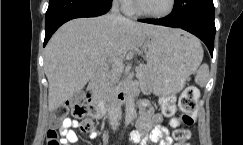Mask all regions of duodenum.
Wrapping results in <instances>:
<instances>
[{
	"mask_svg": "<svg viewBox=\"0 0 243 145\" xmlns=\"http://www.w3.org/2000/svg\"><path fill=\"white\" fill-rule=\"evenodd\" d=\"M105 68L101 67L97 70L95 78L101 76ZM130 97L129 87L121 85L114 96L110 98L98 97L95 94L93 85L91 84L86 90V99L90 115L95 119L102 118L111 108L118 104L124 103Z\"/></svg>",
	"mask_w": 243,
	"mask_h": 145,
	"instance_id": "410a0bca",
	"label": "duodenum"
}]
</instances>
